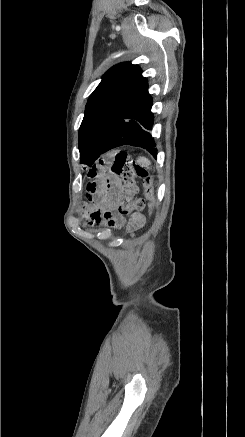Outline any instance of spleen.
I'll return each instance as SVG.
<instances>
[{"instance_id": "1", "label": "spleen", "mask_w": 245, "mask_h": 437, "mask_svg": "<svg viewBox=\"0 0 245 437\" xmlns=\"http://www.w3.org/2000/svg\"><path fill=\"white\" fill-rule=\"evenodd\" d=\"M142 160L146 163H149V161L146 158H142Z\"/></svg>"}]
</instances>
